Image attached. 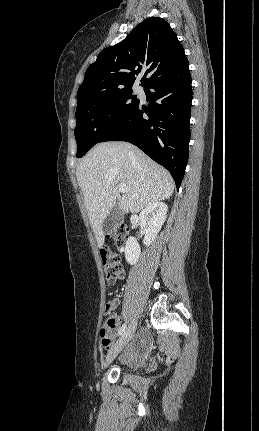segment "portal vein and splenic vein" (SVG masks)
<instances>
[{"label":"portal vein and splenic vein","mask_w":259,"mask_h":431,"mask_svg":"<svg viewBox=\"0 0 259 431\" xmlns=\"http://www.w3.org/2000/svg\"><path fill=\"white\" fill-rule=\"evenodd\" d=\"M127 186H126V184H119L118 185V190H119V192H121V193H125L126 191H127Z\"/></svg>","instance_id":"1"}]
</instances>
